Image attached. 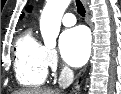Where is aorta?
<instances>
[{
    "mask_svg": "<svg viewBox=\"0 0 121 94\" xmlns=\"http://www.w3.org/2000/svg\"><path fill=\"white\" fill-rule=\"evenodd\" d=\"M71 0H47L40 18V31L47 48L56 46L61 19Z\"/></svg>",
    "mask_w": 121,
    "mask_h": 94,
    "instance_id": "1",
    "label": "aorta"
}]
</instances>
